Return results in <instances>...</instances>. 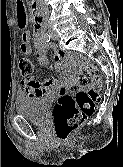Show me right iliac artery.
<instances>
[{
    "label": "right iliac artery",
    "mask_w": 123,
    "mask_h": 167,
    "mask_svg": "<svg viewBox=\"0 0 123 167\" xmlns=\"http://www.w3.org/2000/svg\"><path fill=\"white\" fill-rule=\"evenodd\" d=\"M42 38H43V41L47 42V43L50 42V40H51V36L49 33H44Z\"/></svg>",
    "instance_id": "obj_1"
}]
</instances>
